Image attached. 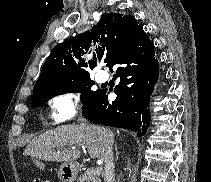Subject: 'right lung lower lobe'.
I'll return each instance as SVG.
<instances>
[{"label":"right lung lower lobe","instance_id":"obj_1","mask_svg":"<svg viewBox=\"0 0 211 182\" xmlns=\"http://www.w3.org/2000/svg\"><path fill=\"white\" fill-rule=\"evenodd\" d=\"M154 55V44L145 32L120 47L109 66H117L116 76L120 78L115 88L116 100L108 102L107 89H99L83 105V116L92 122L128 129L143 136L150 123V96L159 75Z\"/></svg>","mask_w":211,"mask_h":182}]
</instances>
